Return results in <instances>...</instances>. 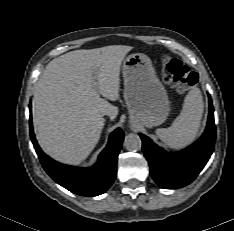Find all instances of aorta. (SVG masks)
<instances>
[{
    "mask_svg": "<svg viewBox=\"0 0 234 231\" xmlns=\"http://www.w3.org/2000/svg\"><path fill=\"white\" fill-rule=\"evenodd\" d=\"M124 146L128 151H138L142 146L141 138L137 134L130 133L124 139Z\"/></svg>",
    "mask_w": 234,
    "mask_h": 231,
    "instance_id": "aorta-1",
    "label": "aorta"
}]
</instances>
